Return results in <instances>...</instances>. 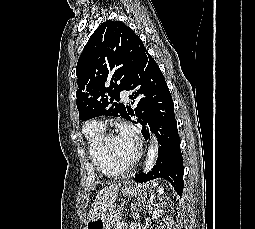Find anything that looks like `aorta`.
I'll list each match as a JSON object with an SVG mask.
<instances>
[{
    "label": "aorta",
    "instance_id": "aorta-1",
    "mask_svg": "<svg viewBox=\"0 0 255 229\" xmlns=\"http://www.w3.org/2000/svg\"><path fill=\"white\" fill-rule=\"evenodd\" d=\"M157 155H158V144H157V141L153 139L151 140L150 145L148 147V152H147L146 160L144 163V172L147 173L152 169L157 159ZM138 229H141L140 225Z\"/></svg>",
    "mask_w": 255,
    "mask_h": 229
}]
</instances>
